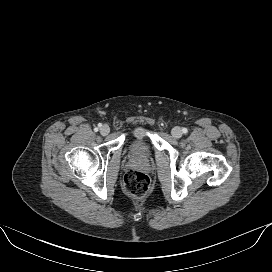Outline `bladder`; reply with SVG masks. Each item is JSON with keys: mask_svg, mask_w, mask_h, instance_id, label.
Returning <instances> with one entry per match:
<instances>
[{"mask_svg": "<svg viewBox=\"0 0 272 272\" xmlns=\"http://www.w3.org/2000/svg\"><path fill=\"white\" fill-rule=\"evenodd\" d=\"M130 151L133 156L143 158L148 154V148L143 139H136L131 143Z\"/></svg>", "mask_w": 272, "mask_h": 272, "instance_id": "bladder-1", "label": "bladder"}]
</instances>
